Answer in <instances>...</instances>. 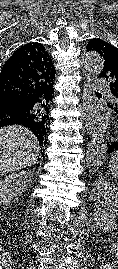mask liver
I'll return each instance as SVG.
<instances>
[{
    "mask_svg": "<svg viewBox=\"0 0 118 269\" xmlns=\"http://www.w3.org/2000/svg\"><path fill=\"white\" fill-rule=\"evenodd\" d=\"M39 154L38 140L30 130L22 126L0 129V176L32 166Z\"/></svg>",
    "mask_w": 118,
    "mask_h": 269,
    "instance_id": "1",
    "label": "liver"
}]
</instances>
